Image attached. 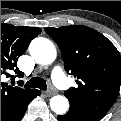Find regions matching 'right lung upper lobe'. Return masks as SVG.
<instances>
[{"mask_svg":"<svg viewBox=\"0 0 121 121\" xmlns=\"http://www.w3.org/2000/svg\"><path fill=\"white\" fill-rule=\"evenodd\" d=\"M40 32L41 29L37 27H15L1 24V75L10 76L7 71L16 68L17 59L26 51L30 41ZM15 72L19 77H23V73L18 68L15 69ZM32 90L1 83V116Z\"/></svg>","mask_w":121,"mask_h":121,"instance_id":"1","label":"right lung upper lobe"}]
</instances>
